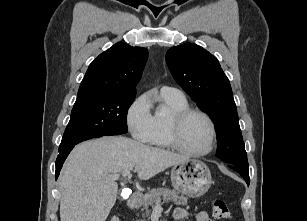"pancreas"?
<instances>
[{
	"label": "pancreas",
	"mask_w": 307,
	"mask_h": 221,
	"mask_svg": "<svg viewBox=\"0 0 307 221\" xmlns=\"http://www.w3.org/2000/svg\"><path fill=\"white\" fill-rule=\"evenodd\" d=\"M161 197L164 202L172 201L176 205L185 206L187 204V198L184 196H179V193L175 190H170L169 188H157L151 190L148 194H146L143 198V208L141 209L142 217L150 215L149 207L154 208L157 203L161 202ZM138 221H145L144 219Z\"/></svg>",
	"instance_id": "1"
}]
</instances>
